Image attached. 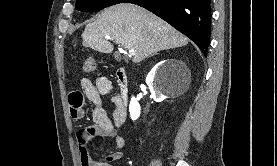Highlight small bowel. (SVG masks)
Masks as SVG:
<instances>
[{
	"instance_id": "obj_1",
	"label": "small bowel",
	"mask_w": 277,
	"mask_h": 166,
	"mask_svg": "<svg viewBox=\"0 0 277 166\" xmlns=\"http://www.w3.org/2000/svg\"><path fill=\"white\" fill-rule=\"evenodd\" d=\"M81 91L75 90L68 94L69 113L73 120H80L84 116V102L88 100L93 104V125L85 126L77 132L78 150L81 166H111L112 161L123 157L121 149L125 146L124 138L118 133V129L125 122L119 113L118 95L113 94L111 81L106 77H98L93 82L88 78L80 81ZM112 95V103L115 105L112 119L108 117L102 106V96ZM111 138L114 140L117 150L106 155L101 162H96L89 154V144L95 138Z\"/></svg>"
}]
</instances>
